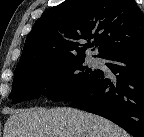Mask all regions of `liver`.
I'll list each match as a JSON object with an SVG mask.
<instances>
[{
	"label": "liver",
	"instance_id": "liver-1",
	"mask_svg": "<svg viewBox=\"0 0 144 137\" xmlns=\"http://www.w3.org/2000/svg\"><path fill=\"white\" fill-rule=\"evenodd\" d=\"M4 137H130L113 122L77 109L41 107L12 111Z\"/></svg>",
	"mask_w": 144,
	"mask_h": 137
}]
</instances>
